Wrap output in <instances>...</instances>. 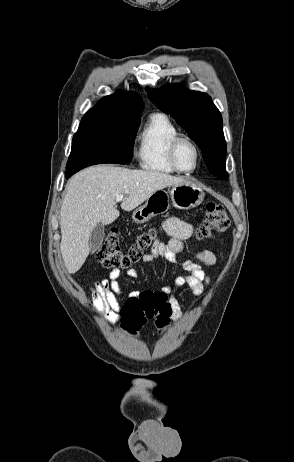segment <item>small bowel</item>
Instances as JSON below:
<instances>
[{"label":"small bowel","instance_id":"c3829d8e","mask_svg":"<svg viewBox=\"0 0 294 462\" xmlns=\"http://www.w3.org/2000/svg\"><path fill=\"white\" fill-rule=\"evenodd\" d=\"M162 226L170 236V240L167 243L156 240L151 252L143 256V261L150 263L164 257L171 262L179 263L185 272L184 275L175 278L172 286H165L161 291L166 294L171 306L170 319L176 322L182 316V310L175 296L176 291L187 286L195 296H200L209 280L201 266H212L216 262V257L209 250H200L195 252L191 258L180 260L179 255L185 250L184 242L192 235V226L174 217L166 219ZM119 275L120 271L113 269L108 277L96 281L90 287L91 305L111 324L120 320L123 307L118 300V296L122 294V288L118 282ZM138 275L135 269L127 270V276L131 278H136ZM135 294L137 293H132V295Z\"/></svg>","mask_w":294,"mask_h":462}]
</instances>
